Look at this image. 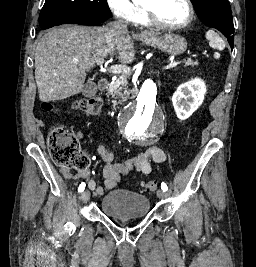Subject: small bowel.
I'll list each match as a JSON object with an SVG mask.
<instances>
[{
    "instance_id": "small-bowel-1",
    "label": "small bowel",
    "mask_w": 256,
    "mask_h": 267,
    "mask_svg": "<svg viewBox=\"0 0 256 267\" xmlns=\"http://www.w3.org/2000/svg\"><path fill=\"white\" fill-rule=\"evenodd\" d=\"M77 140L83 141L84 137L79 136ZM96 152L104 162L102 171L103 185H99L95 180L90 179V172L87 169L79 170L77 173L72 174L69 169L60 168V172L66 179H79L87 182L95 195H103L115 188L123 177L131 174L134 170L146 175L150 174L153 162L163 163L166 160L165 152L158 146H150L123 162L117 161L115 154L103 145L98 146Z\"/></svg>"
}]
</instances>
